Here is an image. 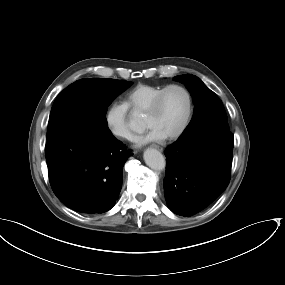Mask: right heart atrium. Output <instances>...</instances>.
Instances as JSON below:
<instances>
[{
    "mask_svg": "<svg viewBox=\"0 0 285 285\" xmlns=\"http://www.w3.org/2000/svg\"><path fill=\"white\" fill-rule=\"evenodd\" d=\"M104 122L108 131L120 140H130L133 138L128 112L123 104L111 103L104 112Z\"/></svg>",
    "mask_w": 285,
    "mask_h": 285,
    "instance_id": "obj_1",
    "label": "right heart atrium"
}]
</instances>
